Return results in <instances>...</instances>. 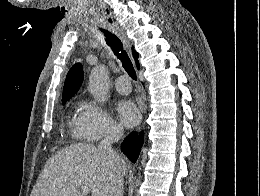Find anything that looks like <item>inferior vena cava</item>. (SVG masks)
<instances>
[{
  "mask_svg": "<svg viewBox=\"0 0 260 196\" xmlns=\"http://www.w3.org/2000/svg\"><path fill=\"white\" fill-rule=\"evenodd\" d=\"M122 136V132H119V130H110L108 134H106L104 140L100 142L98 146V150H101V152H104V154H113L115 158V162L117 164H124L121 156L115 152L112 148V144L114 142H118ZM123 176L121 172H118L117 178H115L114 186L109 194V196H123L124 192V186H123Z\"/></svg>",
  "mask_w": 260,
  "mask_h": 196,
  "instance_id": "obj_1",
  "label": "inferior vena cava"
}]
</instances>
